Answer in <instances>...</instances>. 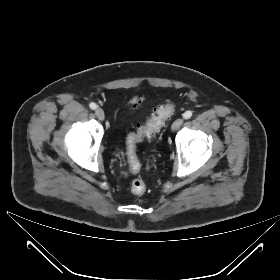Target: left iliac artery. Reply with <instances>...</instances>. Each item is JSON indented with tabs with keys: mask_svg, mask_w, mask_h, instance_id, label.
<instances>
[{
	"mask_svg": "<svg viewBox=\"0 0 280 280\" xmlns=\"http://www.w3.org/2000/svg\"><path fill=\"white\" fill-rule=\"evenodd\" d=\"M192 111L188 110L183 114L184 119H190L192 117Z\"/></svg>",
	"mask_w": 280,
	"mask_h": 280,
	"instance_id": "44dca946",
	"label": "left iliac artery"
}]
</instances>
